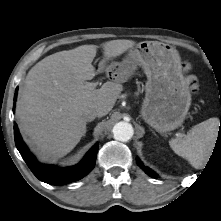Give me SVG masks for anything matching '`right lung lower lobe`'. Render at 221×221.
I'll return each mask as SVG.
<instances>
[{
    "mask_svg": "<svg viewBox=\"0 0 221 221\" xmlns=\"http://www.w3.org/2000/svg\"><path fill=\"white\" fill-rule=\"evenodd\" d=\"M16 95L17 94L14 96V101L16 100ZM14 138L16 147L30 170L39 180L45 183L63 185L77 181L87 175L95 166L98 144H95L88 151L79 164L71 167L59 168L53 165L41 164L35 159L23 142L16 124H14Z\"/></svg>",
    "mask_w": 221,
    "mask_h": 221,
    "instance_id": "1",
    "label": "right lung lower lobe"
}]
</instances>
